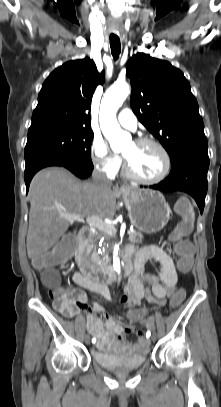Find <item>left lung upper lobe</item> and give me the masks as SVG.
Masks as SVG:
<instances>
[{"instance_id":"1","label":"left lung upper lobe","mask_w":221,"mask_h":407,"mask_svg":"<svg viewBox=\"0 0 221 407\" xmlns=\"http://www.w3.org/2000/svg\"><path fill=\"white\" fill-rule=\"evenodd\" d=\"M130 104L171 161L185 147L207 144L198 103L184 74L169 62L137 53L127 63Z\"/></svg>"}]
</instances>
